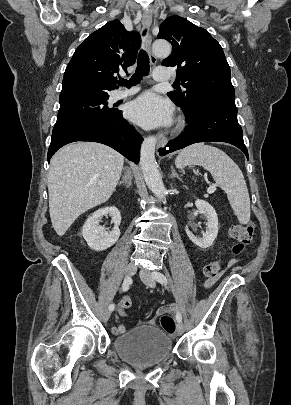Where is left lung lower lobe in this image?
<instances>
[{
	"label": "left lung lower lobe",
	"mask_w": 291,
	"mask_h": 405,
	"mask_svg": "<svg viewBox=\"0 0 291 405\" xmlns=\"http://www.w3.org/2000/svg\"><path fill=\"white\" fill-rule=\"evenodd\" d=\"M188 131L171 140L159 155L198 142H226L241 149L248 158L243 132L237 120L235 95H210L198 98L195 106L184 109Z\"/></svg>",
	"instance_id": "obj_1"
}]
</instances>
